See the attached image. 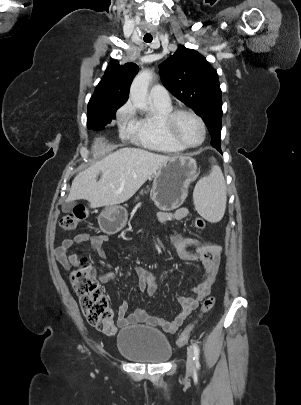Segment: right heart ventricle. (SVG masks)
I'll return each mask as SVG.
<instances>
[{"instance_id": "e07e8e85", "label": "right heart ventricle", "mask_w": 301, "mask_h": 405, "mask_svg": "<svg viewBox=\"0 0 301 405\" xmlns=\"http://www.w3.org/2000/svg\"><path fill=\"white\" fill-rule=\"evenodd\" d=\"M153 113L135 116L127 129V135L138 145L163 153H180L185 149L168 137L162 128V119L172 111V106L152 102Z\"/></svg>"}]
</instances>
